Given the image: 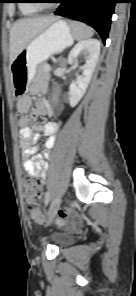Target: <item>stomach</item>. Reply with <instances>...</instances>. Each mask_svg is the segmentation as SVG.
Wrapping results in <instances>:
<instances>
[{"label": "stomach", "mask_w": 136, "mask_h": 296, "mask_svg": "<svg viewBox=\"0 0 136 296\" xmlns=\"http://www.w3.org/2000/svg\"><path fill=\"white\" fill-rule=\"evenodd\" d=\"M72 28L63 20H58L37 35L11 63L12 76L16 84L30 83L39 66L51 55L61 52L73 43ZM30 85H16L15 98L27 94Z\"/></svg>", "instance_id": "stomach-1"}]
</instances>
